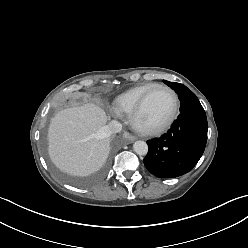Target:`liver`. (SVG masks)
Wrapping results in <instances>:
<instances>
[{"mask_svg": "<svg viewBox=\"0 0 248 248\" xmlns=\"http://www.w3.org/2000/svg\"><path fill=\"white\" fill-rule=\"evenodd\" d=\"M106 122L104 110L94 104L58 112L48 130V152L52 162L73 176L84 177L98 171L110 151Z\"/></svg>", "mask_w": 248, "mask_h": 248, "instance_id": "obj_1", "label": "liver"}]
</instances>
